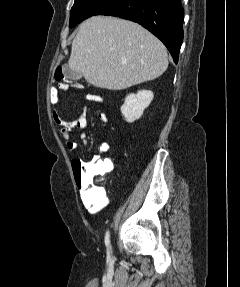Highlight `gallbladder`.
Wrapping results in <instances>:
<instances>
[{
	"mask_svg": "<svg viewBox=\"0 0 240 287\" xmlns=\"http://www.w3.org/2000/svg\"><path fill=\"white\" fill-rule=\"evenodd\" d=\"M64 74H65V78L70 81H77L81 79L83 76L82 73L73 71L67 66L65 67Z\"/></svg>",
	"mask_w": 240,
	"mask_h": 287,
	"instance_id": "gallbladder-1",
	"label": "gallbladder"
}]
</instances>
